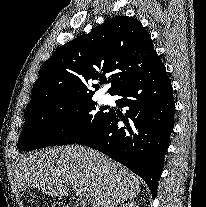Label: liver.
Returning a JSON list of instances; mask_svg holds the SVG:
<instances>
[{"label":"liver","mask_w":206,"mask_h":207,"mask_svg":"<svg viewBox=\"0 0 206 207\" xmlns=\"http://www.w3.org/2000/svg\"><path fill=\"white\" fill-rule=\"evenodd\" d=\"M15 173L21 191L31 186L64 198L71 187H77L87 194L92 207H115L140 193L139 178L126 167L79 145L29 153L21 158Z\"/></svg>","instance_id":"obj_1"}]
</instances>
